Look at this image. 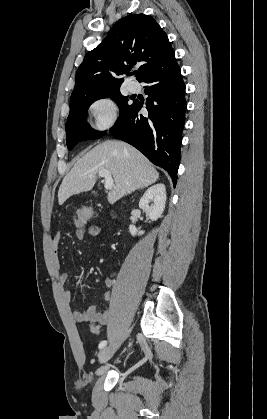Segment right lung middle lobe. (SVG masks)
<instances>
[{"label":"right lung middle lobe","mask_w":267,"mask_h":419,"mask_svg":"<svg viewBox=\"0 0 267 419\" xmlns=\"http://www.w3.org/2000/svg\"><path fill=\"white\" fill-rule=\"evenodd\" d=\"M110 97L119 107L120 116L116 122L125 116L133 103L130 98L123 96L120 90L85 96L70 102V113L66 122V143L71 150L78 142L97 139L105 135L106 131L93 130L87 123V111L89 106L96 100Z\"/></svg>","instance_id":"dd1d6c3e"}]
</instances>
